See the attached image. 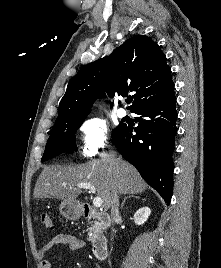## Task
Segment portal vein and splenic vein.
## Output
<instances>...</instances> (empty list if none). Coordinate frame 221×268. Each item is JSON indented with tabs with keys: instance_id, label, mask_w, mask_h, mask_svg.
I'll return each instance as SVG.
<instances>
[{
	"instance_id": "obj_1",
	"label": "portal vein and splenic vein",
	"mask_w": 221,
	"mask_h": 268,
	"mask_svg": "<svg viewBox=\"0 0 221 268\" xmlns=\"http://www.w3.org/2000/svg\"><path fill=\"white\" fill-rule=\"evenodd\" d=\"M78 188H84V189H89V191L91 193H95L96 192V188L95 186L89 184V183H79L76 185ZM102 198L97 196L93 199V205L94 207H101L102 206Z\"/></svg>"
}]
</instances>
